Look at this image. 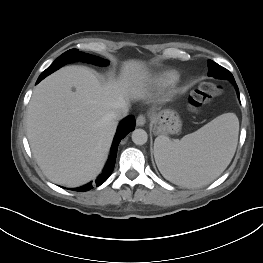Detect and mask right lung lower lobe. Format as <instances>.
<instances>
[{
  "mask_svg": "<svg viewBox=\"0 0 263 263\" xmlns=\"http://www.w3.org/2000/svg\"><path fill=\"white\" fill-rule=\"evenodd\" d=\"M63 65H50L44 72L41 73L39 76L37 83H39L42 79H44L47 75L51 74L55 70L59 69ZM135 128V118L134 116H128L126 117L119 125L117 129V133L115 135L112 148H111V153L108 159V162L102 172V174L97 178L96 180V186L101 185L104 183L107 178L110 176L114 169L115 161H116V155H117V149H118V144L120 143L121 139H123L130 131L134 130ZM92 183H88L82 187L72 189L74 191H88L92 188Z\"/></svg>",
  "mask_w": 263,
  "mask_h": 263,
  "instance_id": "obj_1",
  "label": "right lung lower lobe"
}]
</instances>
